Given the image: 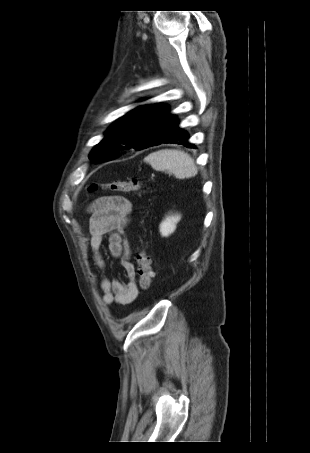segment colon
Segmentation results:
<instances>
[{
  "mask_svg": "<svg viewBox=\"0 0 310 453\" xmlns=\"http://www.w3.org/2000/svg\"><path fill=\"white\" fill-rule=\"evenodd\" d=\"M141 182L136 178H131L128 180H117L103 184H92L90 186L91 191H96L98 189H103L112 192H135L141 189ZM137 273H138V283L142 290H147L152 284V267L151 259L147 253V246L142 245L141 249L137 254Z\"/></svg>",
  "mask_w": 310,
  "mask_h": 453,
  "instance_id": "1",
  "label": "colon"
}]
</instances>
